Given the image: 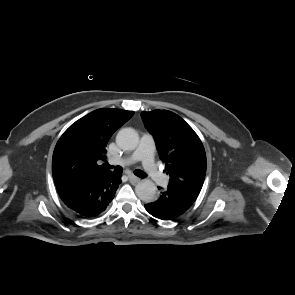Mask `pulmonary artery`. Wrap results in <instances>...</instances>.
<instances>
[{"label": "pulmonary artery", "instance_id": "1", "mask_svg": "<svg viewBox=\"0 0 295 295\" xmlns=\"http://www.w3.org/2000/svg\"><path fill=\"white\" fill-rule=\"evenodd\" d=\"M154 149L153 137L148 133L143 134L138 148L132 155L114 163L126 166L141 161L151 179L158 185H165L168 178L158 169L154 162Z\"/></svg>", "mask_w": 295, "mask_h": 295}]
</instances>
